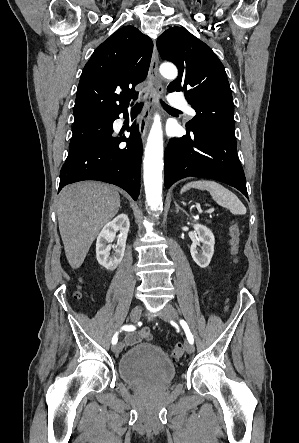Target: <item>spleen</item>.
<instances>
[{"label":"spleen","mask_w":299,"mask_h":443,"mask_svg":"<svg viewBox=\"0 0 299 443\" xmlns=\"http://www.w3.org/2000/svg\"><path fill=\"white\" fill-rule=\"evenodd\" d=\"M191 188L209 191L213 200L217 204L228 208L230 212L234 215L246 214V208L238 199V197L233 192L217 182L210 180H198L189 182L185 186H183V188L181 189V193Z\"/></svg>","instance_id":"obj_1"}]
</instances>
